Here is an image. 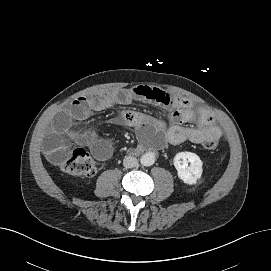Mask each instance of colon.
<instances>
[{
	"label": "colon",
	"mask_w": 271,
	"mask_h": 271,
	"mask_svg": "<svg viewBox=\"0 0 271 271\" xmlns=\"http://www.w3.org/2000/svg\"><path fill=\"white\" fill-rule=\"evenodd\" d=\"M219 145L218 137H209L202 142L205 150H214ZM61 169L68 175L89 177L96 173V165L89 153L84 149H76L62 164Z\"/></svg>",
	"instance_id": "5ec220e1"
}]
</instances>
